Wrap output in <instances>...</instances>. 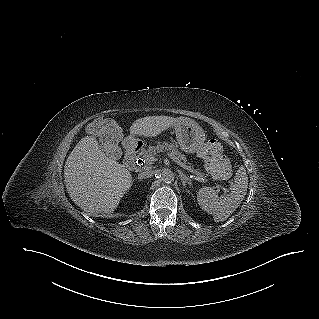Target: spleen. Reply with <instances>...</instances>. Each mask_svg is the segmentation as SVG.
<instances>
[{
	"mask_svg": "<svg viewBox=\"0 0 319 319\" xmlns=\"http://www.w3.org/2000/svg\"><path fill=\"white\" fill-rule=\"evenodd\" d=\"M248 188V175L243 166L239 167L231 192L218 196L212 187H203L197 193V202L200 207L213 215L216 222L226 220L239 207Z\"/></svg>",
	"mask_w": 319,
	"mask_h": 319,
	"instance_id": "obj_1",
	"label": "spleen"
}]
</instances>
